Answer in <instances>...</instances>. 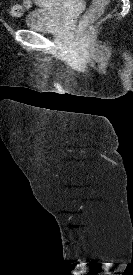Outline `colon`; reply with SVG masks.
<instances>
[{"instance_id": "5ec220e1", "label": "colon", "mask_w": 133, "mask_h": 275, "mask_svg": "<svg viewBox=\"0 0 133 275\" xmlns=\"http://www.w3.org/2000/svg\"><path fill=\"white\" fill-rule=\"evenodd\" d=\"M108 0H92V4L90 10L88 11V17H97L99 16ZM25 8H28L27 3L20 4H13L9 7V12L12 16L19 17L23 14Z\"/></svg>"}]
</instances>
